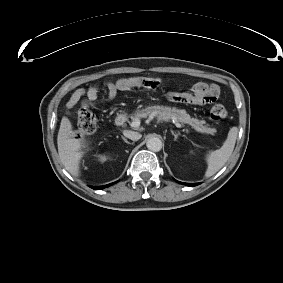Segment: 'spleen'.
<instances>
[{
  "instance_id": "3e777b00",
  "label": "spleen",
  "mask_w": 283,
  "mask_h": 283,
  "mask_svg": "<svg viewBox=\"0 0 283 283\" xmlns=\"http://www.w3.org/2000/svg\"><path fill=\"white\" fill-rule=\"evenodd\" d=\"M237 134V127H232L228 133L227 139L225 140L223 146L218 150L211 151L207 155L206 161L208 167L205 173L206 177H210L215 174L227 162L234 150Z\"/></svg>"
}]
</instances>
